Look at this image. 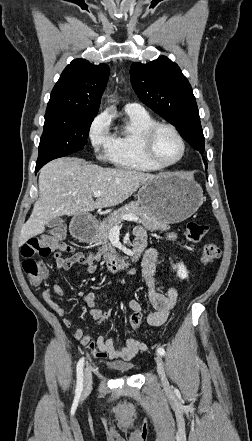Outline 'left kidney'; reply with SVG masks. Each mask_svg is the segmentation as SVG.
Wrapping results in <instances>:
<instances>
[{
    "label": "left kidney",
    "instance_id": "5707ae66",
    "mask_svg": "<svg viewBox=\"0 0 252 441\" xmlns=\"http://www.w3.org/2000/svg\"><path fill=\"white\" fill-rule=\"evenodd\" d=\"M173 269H177V276L180 279H185L188 277V272L183 263H178L177 265H173Z\"/></svg>",
    "mask_w": 252,
    "mask_h": 441
}]
</instances>
